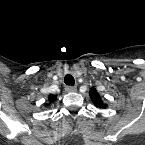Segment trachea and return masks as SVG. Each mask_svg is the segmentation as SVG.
Instances as JSON below:
<instances>
[{
    "mask_svg": "<svg viewBox=\"0 0 145 145\" xmlns=\"http://www.w3.org/2000/svg\"><path fill=\"white\" fill-rule=\"evenodd\" d=\"M64 83L66 85H69V86H72L75 84V80H74V77L70 74H67L65 77H64Z\"/></svg>",
    "mask_w": 145,
    "mask_h": 145,
    "instance_id": "trachea-1",
    "label": "trachea"
}]
</instances>
